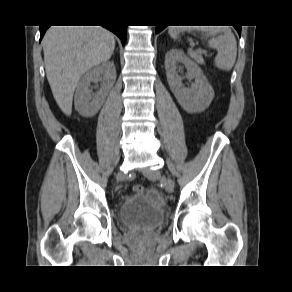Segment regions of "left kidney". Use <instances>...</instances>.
I'll return each instance as SVG.
<instances>
[{"mask_svg": "<svg viewBox=\"0 0 292 292\" xmlns=\"http://www.w3.org/2000/svg\"><path fill=\"white\" fill-rule=\"evenodd\" d=\"M181 63L187 69L186 78L194 79L191 87L186 88L177 66ZM167 81L178 103L188 113H201L209 107L214 98V91L201 68L184 53L177 49L169 50L165 55Z\"/></svg>", "mask_w": 292, "mask_h": 292, "instance_id": "5707ae66", "label": "left kidney"}]
</instances>
